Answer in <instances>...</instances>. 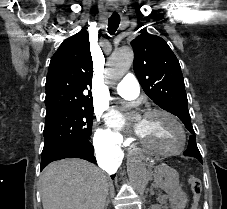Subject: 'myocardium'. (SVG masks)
Returning a JSON list of instances; mask_svg holds the SVG:
<instances>
[{
    "label": "myocardium",
    "mask_w": 227,
    "mask_h": 209,
    "mask_svg": "<svg viewBox=\"0 0 227 209\" xmlns=\"http://www.w3.org/2000/svg\"><path fill=\"white\" fill-rule=\"evenodd\" d=\"M157 113L163 114L164 116H166L178 128L179 133H180V144L176 148H173L170 150H161L156 147H153L152 145H150L148 142L144 141L142 138H140L135 133V137H136L138 143L145 150H147L148 152H150L154 155H157V156H172V155L179 154L180 152H182L184 150L186 143H187V134H186L184 125L182 124V122L179 120V118L176 115H174L172 112H170L166 109H163V108H151L144 113L143 117L150 116L152 114H157Z\"/></svg>",
    "instance_id": "myocardium-1"
}]
</instances>
